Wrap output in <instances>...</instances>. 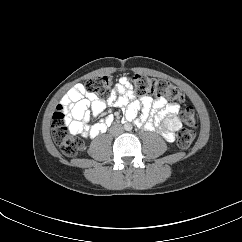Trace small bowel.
Masks as SVG:
<instances>
[{"label": "small bowel", "instance_id": "1", "mask_svg": "<svg viewBox=\"0 0 242 242\" xmlns=\"http://www.w3.org/2000/svg\"><path fill=\"white\" fill-rule=\"evenodd\" d=\"M107 106L123 108L125 119L128 121L134 120L140 112L136 123L139 126L144 125L147 129H155L163 122L161 134L170 142L175 140V132L181 127L178 118L179 104L168 103L163 97L153 99L143 96L135 99L130 85L123 81L115 86L114 93L106 100L94 93L85 92L81 85H76L62 99L59 108L64 112L70 130L88 138L104 132L113 122L114 117L108 115L97 123L90 124L91 119L98 116Z\"/></svg>", "mask_w": 242, "mask_h": 242}]
</instances>
